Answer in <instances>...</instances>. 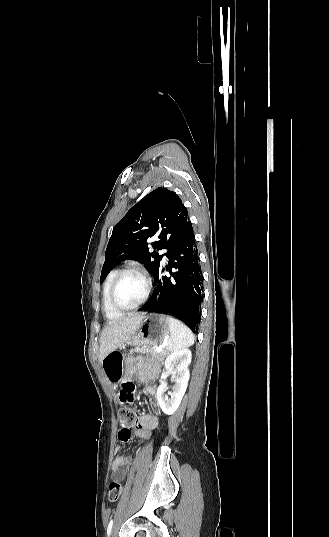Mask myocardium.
<instances>
[{
    "instance_id": "myocardium-1",
    "label": "myocardium",
    "mask_w": 329,
    "mask_h": 537,
    "mask_svg": "<svg viewBox=\"0 0 329 537\" xmlns=\"http://www.w3.org/2000/svg\"><path fill=\"white\" fill-rule=\"evenodd\" d=\"M128 273H137L144 279V281H145V292H144L142 298L136 304H134L133 306H130V307H123V306L119 305L117 303V301H116V291H117V287H118L121 279L123 278V276H125ZM151 289H152V280H151V277H150L149 273L145 269H143L142 267L128 266V267L120 270L118 272L117 276L115 277V279L113 280V283L111 285L110 292H109L110 304H111L112 308H114L115 310H117L119 312H127V311L137 309L138 307H140L147 300V298H148V296H149V294L151 292Z\"/></svg>"
}]
</instances>
